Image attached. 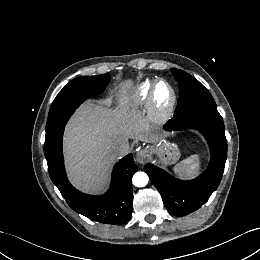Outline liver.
Listing matches in <instances>:
<instances>
[{"label":"liver","instance_id":"obj_1","mask_svg":"<svg viewBox=\"0 0 260 260\" xmlns=\"http://www.w3.org/2000/svg\"><path fill=\"white\" fill-rule=\"evenodd\" d=\"M129 138L158 140L137 115L111 111L92 102L83 104L67 125L64 138L66 165L73 184L86 192L104 190L111 167L120 156L112 147Z\"/></svg>","mask_w":260,"mask_h":260}]
</instances>
